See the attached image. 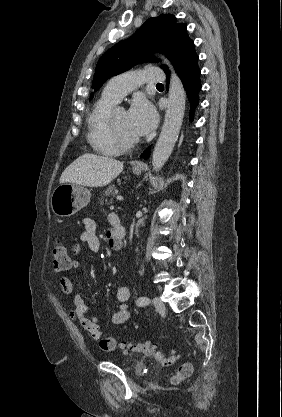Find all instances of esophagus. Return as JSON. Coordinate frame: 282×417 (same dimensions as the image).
<instances>
[{"label": "esophagus", "instance_id": "1", "mask_svg": "<svg viewBox=\"0 0 282 417\" xmlns=\"http://www.w3.org/2000/svg\"><path fill=\"white\" fill-rule=\"evenodd\" d=\"M137 167H143V164H138Z\"/></svg>", "mask_w": 282, "mask_h": 417}]
</instances>
